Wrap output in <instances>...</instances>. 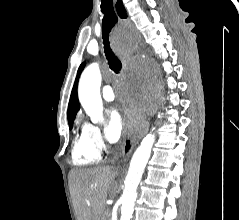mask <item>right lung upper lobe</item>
I'll return each mask as SVG.
<instances>
[{
    "label": "right lung upper lobe",
    "instance_id": "right-lung-upper-lobe-1",
    "mask_svg": "<svg viewBox=\"0 0 239 220\" xmlns=\"http://www.w3.org/2000/svg\"><path fill=\"white\" fill-rule=\"evenodd\" d=\"M83 69H84V63L81 64L78 69L74 86L71 92L69 106H68V113H67L68 121L75 119L76 113L80 107L78 102V96H77V86H78V80H79L80 74L83 71Z\"/></svg>",
    "mask_w": 239,
    "mask_h": 220
}]
</instances>
